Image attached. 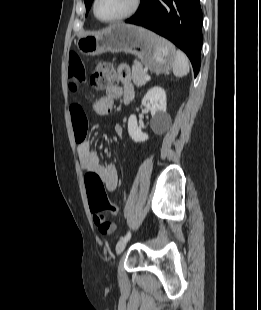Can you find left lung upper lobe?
Masks as SVG:
<instances>
[{
	"instance_id": "1",
	"label": "left lung upper lobe",
	"mask_w": 261,
	"mask_h": 310,
	"mask_svg": "<svg viewBox=\"0 0 261 310\" xmlns=\"http://www.w3.org/2000/svg\"><path fill=\"white\" fill-rule=\"evenodd\" d=\"M93 0H84L86 5V13L89 11Z\"/></svg>"
}]
</instances>
